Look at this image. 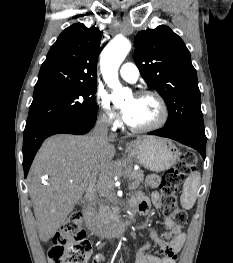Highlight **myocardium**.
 <instances>
[{
  "mask_svg": "<svg viewBox=\"0 0 233 263\" xmlns=\"http://www.w3.org/2000/svg\"><path fill=\"white\" fill-rule=\"evenodd\" d=\"M144 97H152L153 99L156 100V102L158 103L160 107V111H161L160 117L158 118L156 122H154L153 124L147 125V126L139 127V126H132L128 124V128L133 132L146 133V132L155 131L163 127L167 123L168 118H169L168 106L165 100L163 99V97L159 93L152 91V90H143L136 94V98H144Z\"/></svg>",
  "mask_w": 233,
  "mask_h": 263,
  "instance_id": "obj_1",
  "label": "myocardium"
}]
</instances>
